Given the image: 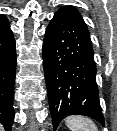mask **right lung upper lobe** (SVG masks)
<instances>
[{
	"mask_svg": "<svg viewBox=\"0 0 117 131\" xmlns=\"http://www.w3.org/2000/svg\"><path fill=\"white\" fill-rule=\"evenodd\" d=\"M7 26H9V23L6 16L0 14V31L5 29Z\"/></svg>",
	"mask_w": 117,
	"mask_h": 131,
	"instance_id": "1",
	"label": "right lung upper lobe"
}]
</instances>
